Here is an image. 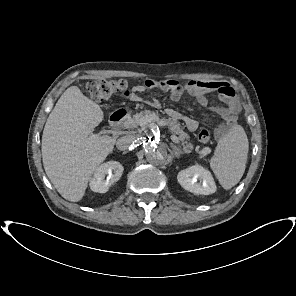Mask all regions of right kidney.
<instances>
[{
	"label": "right kidney",
	"mask_w": 296,
	"mask_h": 296,
	"mask_svg": "<svg viewBox=\"0 0 296 296\" xmlns=\"http://www.w3.org/2000/svg\"><path fill=\"white\" fill-rule=\"evenodd\" d=\"M123 170V166L117 161L101 164L90 179V189L93 192L106 193L109 187L120 179Z\"/></svg>",
	"instance_id": "right-kidney-1"
}]
</instances>
